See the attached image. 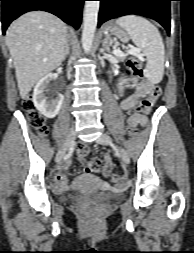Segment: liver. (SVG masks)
Segmentation results:
<instances>
[{"label":"liver","mask_w":194,"mask_h":253,"mask_svg":"<svg viewBox=\"0 0 194 253\" xmlns=\"http://www.w3.org/2000/svg\"><path fill=\"white\" fill-rule=\"evenodd\" d=\"M66 39V24L44 11L26 13L10 25L6 44L22 99L42 77L61 65Z\"/></svg>","instance_id":"obj_1"}]
</instances>
